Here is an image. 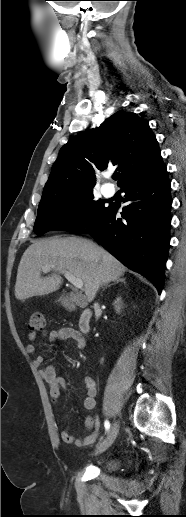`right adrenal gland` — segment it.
I'll use <instances>...</instances> for the list:
<instances>
[{"mask_svg":"<svg viewBox=\"0 0 186 517\" xmlns=\"http://www.w3.org/2000/svg\"><path fill=\"white\" fill-rule=\"evenodd\" d=\"M118 282H123L124 284L126 283V282H125V278H119V279H117V280L113 281V283H112V284H109V285L107 284L103 290H105L107 287H110L111 285L116 284V283H118Z\"/></svg>","mask_w":186,"mask_h":517,"instance_id":"2a0ac1e0","label":"right adrenal gland"}]
</instances>
